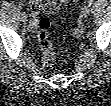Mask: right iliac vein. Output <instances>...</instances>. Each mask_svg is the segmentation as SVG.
I'll use <instances>...</instances> for the list:
<instances>
[{
    "mask_svg": "<svg viewBox=\"0 0 111 106\" xmlns=\"http://www.w3.org/2000/svg\"><path fill=\"white\" fill-rule=\"evenodd\" d=\"M21 20H22L23 22H27L28 18H27V17H24V16H21Z\"/></svg>",
    "mask_w": 111,
    "mask_h": 106,
    "instance_id": "1",
    "label": "right iliac vein"
}]
</instances>
